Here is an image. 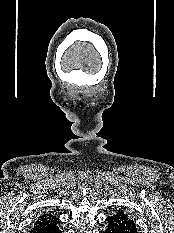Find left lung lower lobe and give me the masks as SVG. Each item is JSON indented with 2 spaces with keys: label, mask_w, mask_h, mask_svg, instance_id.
<instances>
[{
  "label": "left lung lower lobe",
  "mask_w": 174,
  "mask_h": 233,
  "mask_svg": "<svg viewBox=\"0 0 174 233\" xmlns=\"http://www.w3.org/2000/svg\"><path fill=\"white\" fill-rule=\"evenodd\" d=\"M105 221L104 233H137L135 222L122 212H117L116 215L106 218Z\"/></svg>",
  "instance_id": "obj_1"
}]
</instances>
